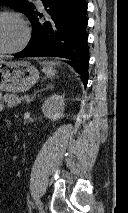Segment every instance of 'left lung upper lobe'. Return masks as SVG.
<instances>
[{"label": "left lung upper lobe", "mask_w": 128, "mask_h": 213, "mask_svg": "<svg viewBox=\"0 0 128 213\" xmlns=\"http://www.w3.org/2000/svg\"><path fill=\"white\" fill-rule=\"evenodd\" d=\"M0 5L16 8L17 10L26 14L28 18L35 9V6L28 0H0Z\"/></svg>", "instance_id": "obj_1"}]
</instances>
